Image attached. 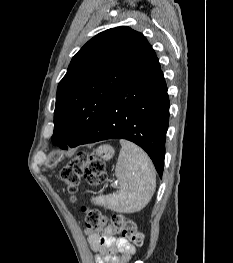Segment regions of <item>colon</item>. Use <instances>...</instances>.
<instances>
[{
    "label": "colon",
    "mask_w": 233,
    "mask_h": 263,
    "mask_svg": "<svg viewBox=\"0 0 233 263\" xmlns=\"http://www.w3.org/2000/svg\"><path fill=\"white\" fill-rule=\"evenodd\" d=\"M84 178L91 185H98L105 180V165L94 156L80 152L61 171V179L69 193L77 192L81 179ZM85 223L90 228L105 225L112 226L123 237L135 246H142L144 235L139 232L134 222L125 219L122 215L106 217L100 210L85 206L82 209Z\"/></svg>",
    "instance_id": "5ec220e1"
}]
</instances>
